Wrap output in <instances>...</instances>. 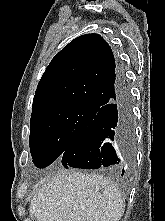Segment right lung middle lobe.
Masks as SVG:
<instances>
[{"label": "right lung middle lobe", "mask_w": 165, "mask_h": 221, "mask_svg": "<svg viewBox=\"0 0 165 221\" xmlns=\"http://www.w3.org/2000/svg\"><path fill=\"white\" fill-rule=\"evenodd\" d=\"M97 110L59 107L31 115L30 151L33 163L45 168L60 157L92 122Z\"/></svg>", "instance_id": "right-lung-middle-lobe-1"}]
</instances>
